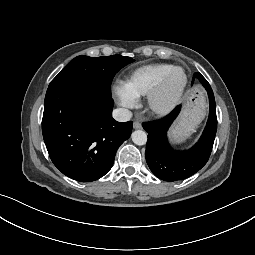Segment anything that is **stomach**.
<instances>
[{"label":"stomach","mask_w":255,"mask_h":255,"mask_svg":"<svg viewBox=\"0 0 255 255\" xmlns=\"http://www.w3.org/2000/svg\"><path fill=\"white\" fill-rule=\"evenodd\" d=\"M206 110L203 92L195 87L189 90L184 97L183 111L170 129V138L173 143L180 144L188 139L196 130Z\"/></svg>","instance_id":"stomach-1"}]
</instances>
